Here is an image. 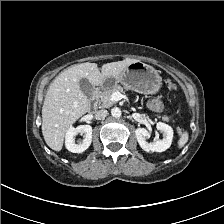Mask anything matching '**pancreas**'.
I'll list each match as a JSON object with an SVG mask.
<instances>
[{"mask_svg":"<svg viewBox=\"0 0 224 224\" xmlns=\"http://www.w3.org/2000/svg\"><path fill=\"white\" fill-rule=\"evenodd\" d=\"M126 90H128V88H123L120 85H115L111 88H108L98 95L99 103L101 104L102 107L109 108L114 104V101H112L110 99L112 93H114V92L124 93ZM162 119L164 121H169L170 117L164 116V117H162Z\"/></svg>","mask_w":224,"mask_h":224,"instance_id":"pancreas-1","label":"pancreas"}]
</instances>
